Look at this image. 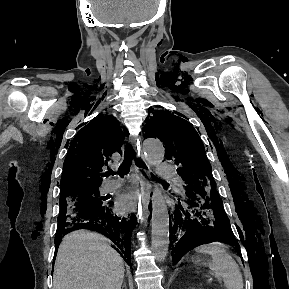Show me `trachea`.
Instances as JSON below:
<instances>
[{
    "label": "trachea",
    "instance_id": "obj_1",
    "mask_svg": "<svg viewBox=\"0 0 289 289\" xmlns=\"http://www.w3.org/2000/svg\"><path fill=\"white\" fill-rule=\"evenodd\" d=\"M135 160L136 164L141 167L142 169H147L146 165L142 163L138 158H136V153L133 150L132 146L130 144L126 145L125 152H124V160L120 167L118 168L117 174H119L120 177H123L124 175L129 173L130 166L132 164V160ZM143 174L146 176L145 172L142 170ZM115 174L114 171L108 170L104 175L109 176ZM152 178L157 179L153 174H151Z\"/></svg>",
    "mask_w": 289,
    "mask_h": 289
}]
</instances>
